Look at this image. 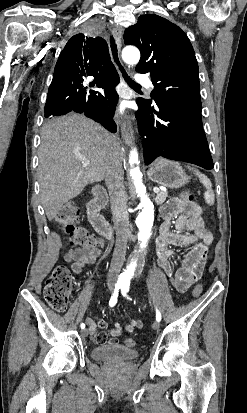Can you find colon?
<instances>
[{
  "label": "colon",
  "instance_id": "5ec220e1",
  "mask_svg": "<svg viewBox=\"0 0 247 413\" xmlns=\"http://www.w3.org/2000/svg\"><path fill=\"white\" fill-rule=\"evenodd\" d=\"M180 203H183L185 207H192L194 200L192 198H186L185 196L179 197ZM79 217V209L75 203H69L65 205L58 213L56 222L59 230L66 236L70 237L71 245H75L77 242L83 241L86 233L84 231H77L73 223ZM72 277L70 268L62 265L54 268L52 273L46 278L43 288V295L48 305L55 311L66 310L70 295L72 292ZM202 293V285L198 284L194 288L193 295L199 297ZM124 345L127 347L135 346L133 339H125Z\"/></svg>",
  "mask_w": 247,
  "mask_h": 413
}]
</instances>
